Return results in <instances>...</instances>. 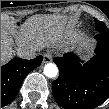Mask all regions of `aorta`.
Segmentation results:
<instances>
[{"label": "aorta", "instance_id": "aorta-1", "mask_svg": "<svg viewBox=\"0 0 109 109\" xmlns=\"http://www.w3.org/2000/svg\"><path fill=\"white\" fill-rule=\"evenodd\" d=\"M44 74L49 78H54L58 74V68L54 63H48L44 66Z\"/></svg>", "mask_w": 109, "mask_h": 109}]
</instances>
